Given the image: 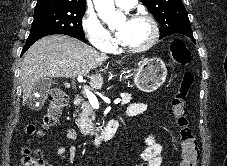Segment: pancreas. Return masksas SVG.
Masks as SVG:
<instances>
[{
  "label": "pancreas",
  "mask_w": 227,
  "mask_h": 166,
  "mask_svg": "<svg viewBox=\"0 0 227 166\" xmlns=\"http://www.w3.org/2000/svg\"><path fill=\"white\" fill-rule=\"evenodd\" d=\"M132 95L126 93L122 97V105L130 103ZM95 120V110L89 102H85L82 105V112L79 115V118L76 120V124L80 128L81 132L89 135L96 134L95 125L93 121Z\"/></svg>",
  "instance_id": "pancreas-1"
}]
</instances>
